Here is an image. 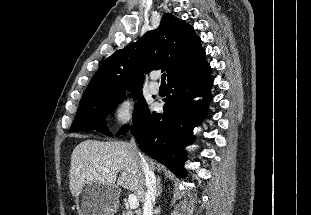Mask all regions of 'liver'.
I'll list each match as a JSON object with an SVG mask.
<instances>
[{"instance_id": "liver-1", "label": "liver", "mask_w": 311, "mask_h": 215, "mask_svg": "<svg viewBox=\"0 0 311 215\" xmlns=\"http://www.w3.org/2000/svg\"><path fill=\"white\" fill-rule=\"evenodd\" d=\"M151 169L155 164L147 158ZM109 170L106 172L105 170ZM121 175L118 177V173ZM89 183L111 185L120 193V187L130 190L142 202L145 195V179L139 159L128 142H101L87 139L72 152L69 188L77 197Z\"/></svg>"}]
</instances>
